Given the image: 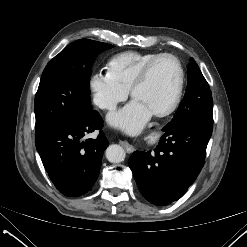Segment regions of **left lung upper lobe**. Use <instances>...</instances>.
<instances>
[{"label": "left lung upper lobe", "mask_w": 247, "mask_h": 247, "mask_svg": "<svg viewBox=\"0 0 247 247\" xmlns=\"http://www.w3.org/2000/svg\"><path fill=\"white\" fill-rule=\"evenodd\" d=\"M188 85L173 119L163 127V131L175 127L178 123L196 119L213 125V100L210 87L193 58L188 65Z\"/></svg>", "instance_id": "left-lung-upper-lobe-1"}]
</instances>
